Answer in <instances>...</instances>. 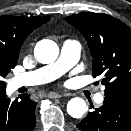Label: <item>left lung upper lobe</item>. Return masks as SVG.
I'll return each mask as SVG.
<instances>
[{
    "label": "left lung upper lobe",
    "instance_id": "1",
    "mask_svg": "<svg viewBox=\"0 0 131 131\" xmlns=\"http://www.w3.org/2000/svg\"><path fill=\"white\" fill-rule=\"evenodd\" d=\"M66 21L86 38L93 57L92 75L103 76L105 97L131 106V29L102 13H79Z\"/></svg>",
    "mask_w": 131,
    "mask_h": 131
}]
</instances>
